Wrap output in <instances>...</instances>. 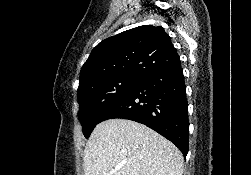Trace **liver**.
I'll return each instance as SVG.
<instances>
[{
	"label": "liver",
	"instance_id": "liver-1",
	"mask_svg": "<svg viewBox=\"0 0 251 175\" xmlns=\"http://www.w3.org/2000/svg\"><path fill=\"white\" fill-rule=\"evenodd\" d=\"M183 161L178 147L154 129L131 119H106L85 145L84 175H182Z\"/></svg>",
	"mask_w": 251,
	"mask_h": 175
}]
</instances>
